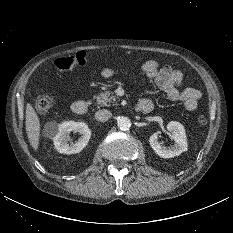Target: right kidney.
Masks as SVG:
<instances>
[{
    "mask_svg": "<svg viewBox=\"0 0 233 233\" xmlns=\"http://www.w3.org/2000/svg\"><path fill=\"white\" fill-rule=\"evenodd\" d=\"M45 131L46 135L53 139L57 151L64 154L79 153L86 147L91 137V130L83 122L65 121L61 124L50 122L46 125ZM72 131L80 133L81 137L76 143L68 144V134Z\"/></svg>",
    "mask_w": 233,
    "mask_h": 233,
    "instance_id": "obj_1",
    "label": "right kidney"
}]
</instances>
